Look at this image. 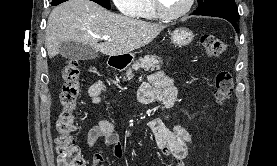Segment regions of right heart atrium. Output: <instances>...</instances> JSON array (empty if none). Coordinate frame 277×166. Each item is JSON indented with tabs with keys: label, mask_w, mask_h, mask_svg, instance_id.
Returning a JSON list of instances; mask_svg holds the SVG:
<instances>
[{
	"label": "right heart atrium",
	"mask_w": 277,
	"mask_h": 166,
	"mask_svg": "<svg viewBox=\"0 0 277 166\" xmlns=\"http://www.w3.org/2000/svg\"><path fill=\"white\" fill-rule=\"evenodd\" d=\"M112 2L121 13L133 16L139 6L140 0H112Z\"/></svg>",
	"instance_id": "right-heart-atrium-1"
}]
</instances>
